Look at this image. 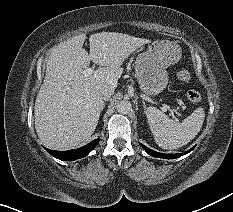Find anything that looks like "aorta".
Returning a JSON list of instances; mask_svg holds the SVG:
<instances>
[{
    "instance_id": "obj_1",
    "label": "aorta",
    "mask_w": 233,
    "mask_h": 212,
    "mask_svg": "<svg viewBox=\"0 0 233 212\" xmlns=\"http://www.w3.org/2000/svg\"><path fill=\"white\" fill-rule=\"evenodd\" d=\"M132 109V104L128 100H122L117 105V110L119 113L127 114Z\"/></svg>"
}]
</instances>
